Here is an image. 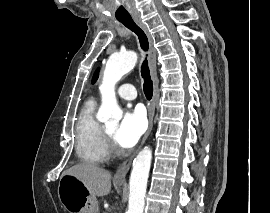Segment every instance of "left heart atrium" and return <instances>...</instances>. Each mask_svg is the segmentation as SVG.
Segmentation results:
<instances>
[{
    "instance_id": "1",
    "label": "left heart atrium",
    "mask_w": 270,
    "mask_h": 213,
    "mask_svg": "<svg viewBox=\"0 0 270 213\" xmlns=\"http://www.w3.org/2000/svg\"><path fill=\"white\" fill-rule=\"evenodd\" d=\"M146 129V118L140 109L125 112L114 133V140L122 149L136 145Z\"/></svg>"
}]
</instances>
